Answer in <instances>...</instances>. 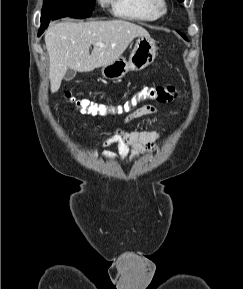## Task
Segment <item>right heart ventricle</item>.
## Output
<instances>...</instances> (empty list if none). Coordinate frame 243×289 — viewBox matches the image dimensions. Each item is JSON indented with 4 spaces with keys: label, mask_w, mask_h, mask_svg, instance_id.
Instances as JSON below:
<instances>
[{
    "label": "right heart ventricle",
    "mask_w": 243,
    "mask_h": 289,
    "mask_svg": "<svg viewBox=\"0 0 243 289\" xmlns=\"http://www.w3.org/2000/svg\"><path fill=\"white\" fill-rule=\"evenodd\" d=\"M112 12L116 17L149 22L156 20V14L150 5V0H109Z\"/></svg>",
    "instance_id": "obj_1"
}]
</instances>
